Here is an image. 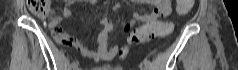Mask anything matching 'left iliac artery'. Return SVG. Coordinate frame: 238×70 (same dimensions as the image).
I'll return each mask as SVG.
<instances>
[{"instance_id":"obj_1","label":"left iliac artery","mask_w":238,"mask_h":70,"mask_svg":"<svg viewBox=\"0 0 238 70\" xmlns=\"http://www.w3.org/2000/svg\"><path fill=\"white\" fill-rule=\"evenodd\" d=\"M144 64H145V66H147V67H152V63L150 62V60H148V59H144Z\"/></svg>"}]
</instances>
